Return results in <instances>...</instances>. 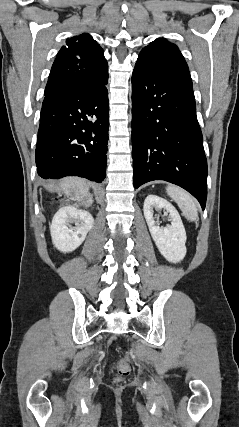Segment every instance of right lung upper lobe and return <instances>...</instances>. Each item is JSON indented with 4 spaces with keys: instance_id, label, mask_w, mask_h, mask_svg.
I'll return each instance as SVG.
<instances>
[{
    "instance_id": "1",
    "label": "right lung upper lobe",
    "mask_w": 239,
    "mask_h": 427,
    "mask_svg": "<svg viewBox=\"0 0 239 427\" xmlns=\"http://www.w3.org/2000/svg\"><path fill=\"white\" fill-rule=\"evenodd\" d=\"M108 72L103 49L83 33L66 40L52 65L45 93L72 81L97 79Z\"/></svg>"
}]
</instances>
